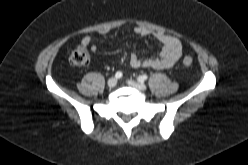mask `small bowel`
Masks as SVG:
<instances>
[{
	"mask_svg": "<svg viewBox=\"0 0 248 165\" xmlns=\"http://www.w3.org/2000/svg\"><path fill=\"white\" fill-rule=\"evenodd\" d=\"M108 33L107 29L100 30L98 35L103 36ZM134 34L140 37L153 36L161 43V52L157 58H140L136 53H132L129 57V65L133 69L152 68V69H171L180 59L182 54V46L179 39L174 36L156 32L145 27H136ZM92 43V35H86L81 40V44L89 47ZM91 50L95 52L97 47L91 46Z\"/></svg>",
	"mask_w": 248,
	"mask_h": 165,
	"instance_id": "c3829d8e",
	"label": "small bowel"
}]
</instances>
